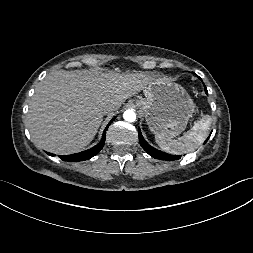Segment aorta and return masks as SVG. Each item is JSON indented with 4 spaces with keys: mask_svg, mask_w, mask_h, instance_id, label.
<instances>
[{
    "mask_svg": "<svg viewBox=\"0 0 253 253\" xmlns=\"http://www.w3.org/2000/svg\"><path fill=\"white\" fill-rule=\"evenodd\" d=\"M123 118L127 122H134L136 120V114L133 110H126L123 114Z\"/></svg>",
    "mask_w": 253,
    "mask_h": 253,
    "instance_id": "aorta-1",
    "label": "aorta"
}]
</instances>
